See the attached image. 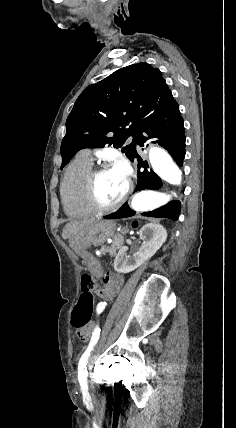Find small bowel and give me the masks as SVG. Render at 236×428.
<instances>
[{"label":"small bowel","instance_id":"small-bowel-1","mask_svg":"<svg viewBox=\"0 0 236 428\" xmlns=\"http://www.w3.org/2000/svg\"><path fill=\"white\" fill-rule=\"evenodd\" d=\"M104 286L98 290V295L102 298L97 304L96 309L101 313L105 310L107 303L111 302L118 294L123 285V277L119 274L109 273L104 277ZM92 326L89 325L82 330H78L77 334L82 340H87L91 334Z\"/></svg>","mask_w":236,"mask_h":428}]
</instances>
